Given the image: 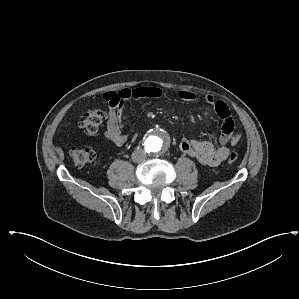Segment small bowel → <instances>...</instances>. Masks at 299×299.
<instances>
[{
    "label": "small bowel",
    "mask_w": 299,
    "mask_h": 299,
    "mask_svg": "<svg viewBox=\"0 0 299 299\" xmlns=\"http://www.w3.org/2000/svg\"><path fill=\"white\" fill-rule=\"evenodd\" d=\"M162 95V90L157 86L125 88L106 93L104 100L109 104L110 110L106 116L104 137L115 145H123L127 141V135L123 131V122L126 119V103L142 98L158 99ZM178 96L187 102L196 99V95L189 90H181ZM202 100L213 107L222 122L219 145L216 147L209 141L183 138L179 142V148L203 165L218 166L228 156L227 145L235 146L238 144L242 139V132L236 129L231 111L224 100L216 99L211 95H203Z\"/></svg>",
    "instance_id": "c3829d8e"
}]
</instances>
